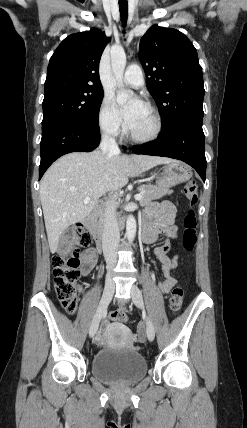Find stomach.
<instances>
[{"label":"stomach","mask_w":247,"mask_h":428,"mask_svg":"<svg viewBox=\"0 0 247 428\" xmlns=\"http://www.w3.org/2000/svg\"><path fill=\"white\" fill-rule=\"evenodd\" d=\"M157 185L170 188L188 181L192 177L191 168L183 162L174 161L165 163L160 169L152 173Z\"/></svg>","instance_id":"stomach-1"}]
</instances>
